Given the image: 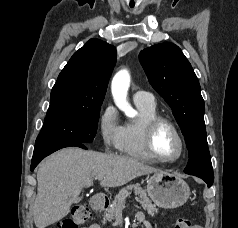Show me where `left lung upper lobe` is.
I'll return each mask as SVG.
<instances>
[{"mask_svg": "<svg viewBox=\"0 0 238 228\" xmlns=\"http://www.w3.org/2000/svg\"><path fill=\"white\" fill-rule=\"evenodd\" d=\"M139 60L152 87L171 107L189 151L187 173L213 176L199 81L181 49L164 42L144 49Z\"/></svg>", "mask_w": 238, "mask_h": 228, "instance_id": "1", "label": "left lung upper lobe"}]
</instances>
